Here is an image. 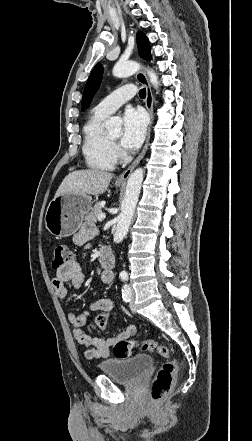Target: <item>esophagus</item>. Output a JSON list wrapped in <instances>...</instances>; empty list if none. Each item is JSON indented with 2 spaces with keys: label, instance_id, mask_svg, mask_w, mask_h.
<instances>
[{
  "label": "esophagus",
  "instance_id": "esophagus-1",
  "mask_svg": "<svg viewBox=\"0 0 252 441\" xmlns=\"http://www.w3.org/2000/svg\"><path fill=\"white\" fill-rule=\"evenodd\" d=\"M137 80L146 88V99H145V106L150 116V124L148 127L147 132V138L145 145L141 151V153L138 155V157L134 160V162L121 174L117 177L116 181L120 183L126 182L132 171L135 169V167L139 164V162L142 160L144 155L146 154V151L148 149L149 141H150V133H151V126L153 123L154 113H153V94L151 91V87L149 84V81L147 79L146 74L143 71H139L136 74Z\"/></svg>",
  "mask_w": 252,
  "mask_h": 441
}]
</instances>
